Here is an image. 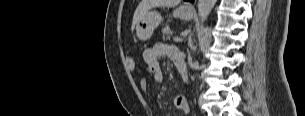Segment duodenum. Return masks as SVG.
<instances>
[{"instance_id":"1","label":"duodenum","mask_w":305,"mask_h":116,"mask_svg":"<svg viewBox=\"0 0 305 116\" xmlns=\"http://www.w3.org/2000/svg\"><path fill=\"white\" fill-rule=\"evenodd\" d=\"M174 63L180 74L182 81L186 83L188 79V75H187V66L185 59L183 57H179L174 61Z\"/></svg>"}]
</instances>
